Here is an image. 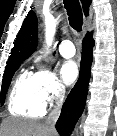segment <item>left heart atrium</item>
<instances>
[{"label":"left heart atrium","mask_w":117,"mask_h":136,"mask_svg":"<svg viewBox=\"0 0 117 136\" xmlns=\"http://www.w3.org/2000/svg\"><path fill=\"white\" fill-rule=\"evenodd\" d=\"M60 73L63 81L70 85L74 83L79 76L78 65L72 60H67L62 64Z\"/></svg>","instance_id":"39dd6f15"}]
</instances>
